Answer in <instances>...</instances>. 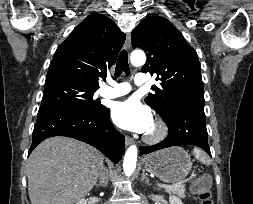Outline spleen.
<instances>
[{"mask_svg":"<svg viewBox=\"0 0 253 204\" xmlns=\"http://www.w3.org/2000/svg\"><path fill=\"white\" fill-rule=\"evenodd\" d=\"M193 153H194V156L196 157V159L201 161L203 164H205V165L211 164V159L205 153H203L199 148H195L193 150Z\"/></svg>","mask_w":253,"mask_h":204,"instance_id":"1","label":"spleen"}]
</instances>
